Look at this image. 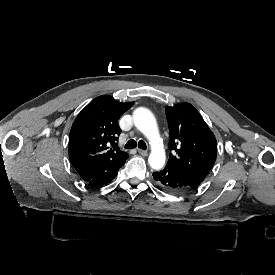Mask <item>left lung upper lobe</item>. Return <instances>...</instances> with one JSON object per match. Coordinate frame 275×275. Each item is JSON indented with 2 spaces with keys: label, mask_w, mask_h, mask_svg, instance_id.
Segmentation results:
<instances>
[{
  "label": "left lung upper lobe",
  "mask_w": 275,
  "mask_h": 275,
  "mask_svg": "<svg viewBox=\"0 0 275 275\" xmlns=\"http://www.w3.org/2000/svg\"><path fill=\"white\" fill-rule=\"evenodd\" d=\"M171 151L167 167L196 188L211 170L217 142L199 112L189 103L166 108Z\"/></svg>",
  "instance_id": "5c2ea615"
}]
</instances>
